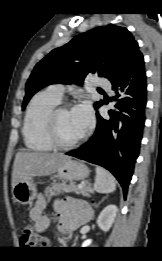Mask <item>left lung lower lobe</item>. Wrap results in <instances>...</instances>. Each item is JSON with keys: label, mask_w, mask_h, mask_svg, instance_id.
Returning <instances> with one entry per match:
<instances>
[{"label": "left lung lower lobe", "mask_w": 162, "mask_h": 261, "mask_svg": "<svg viewBox=\"0 0 162 261\" xmlns=\"http://www.w3.org/2000/svg\"><path fill=\"white\" fill-rule=\"evenodd\" d=\"M117 101L109 119L97 113L94 135L67 155L108 169L119 181L126 198L134 165L139 156L147 102L144 59L111 82Z\"/></svg>", "instance_id": "1"}]
</instances>
